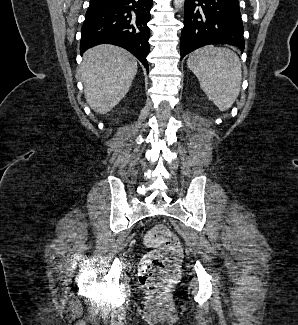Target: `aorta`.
<instances>
[{
	"mask_svg": "<svg viewBox=\"0 0 298 325\" xmlns=\"http://www.w3.org/2000/svg\"><path fill=\"white\" fill-rule=\"evenodd\" d=\"M174 6H178V8H181V6H184L185 0H173Z\"/></svg>",
	"mask_w": 298,
	"mask_h": 325,
	"instance_id": "obj_1",
	"label": "aorta"
}]
</instances>
